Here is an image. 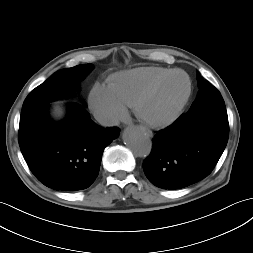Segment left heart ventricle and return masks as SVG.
<instances>
[{
  "mask_svg": "<svg viewBox=\"0 0 253 253\" xmlns=\"http://www.w3.org/2000/svg\"><path fill=\"white\" fill-rule=\"evenodd\" d=\"M187 91V80L182 74H176L168 79L154 93L145 106L148 116L163 119L169 116L177 107Z\"/></svg>",
  "mask_w": 253,
  "mask_h": 253,
  "instance_id": "b2bd125f",
  "label": "left heart ventricle"
}]
</instances>
